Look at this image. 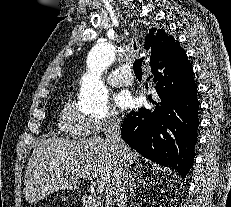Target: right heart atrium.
I'll return each mask as SVG.
<instances>
[{"label": "right heart atrium", "mask_w": 231, "mask_h": 207, "mask_svg": "<svg viewBox=\"0 0 231 207\" xmlns=\"http://www.w3.org/2000/svg\"><path fill=\"white\" fill-rule=\"evenodd\" d=\"M120 123L118 112L110 110L103 116L90 118V130L92 133L100 134L119 127Z\"/></svg>", "instance_id": "d8ad5b80"}]
</instances>
